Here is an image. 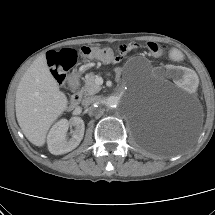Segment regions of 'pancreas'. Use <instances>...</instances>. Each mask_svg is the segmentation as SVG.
<instances>
[{
    "mask_svg": "<svg viewBox=\"0 0 215 215\" xmlns=\"http://www.w3.org/2000/svg\"><path fill=\"white\" fill-rule=\"evenodd\" d=\"M96 75L94 73L86 74L85 76V85L81 88L80 94L84 96H90L98 93L102 87L95 83Z\"/></svg>",
    "mask_w": 215,
    "mask_h": 215,
    "instance_id": "pancreas-1",
    "label": "pancreas"
}]
</instances>
